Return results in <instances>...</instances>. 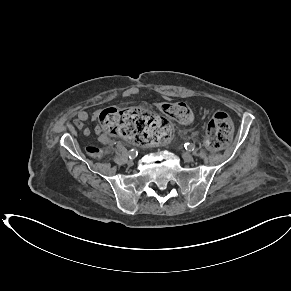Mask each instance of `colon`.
<instances>
[{"label": "colon", "instance_id": "5ec220e1", "mask_svg": "<svg viewBox=\"0 0 291 291\" xmlns=\"http://www.w3.org/2000/svg\"><path fill=\"white\" fill-rule=\"evenodd\" d=\"M166 117L159 116L141 108L119 109L108 107L102 110L98 120L100 128L109 134L121 136L140 145H152L166 139L171 133V125L167 118L187 124L193 121L192 110L183 102H169L162 105ZM233 134V122L230 116L218 111L210 120L205 141L212 150L224 148ZM93 157H99L102 150L87 147Z\"/></svg>", "mask_w": 291, "mask_h": 291}]
</instances>
